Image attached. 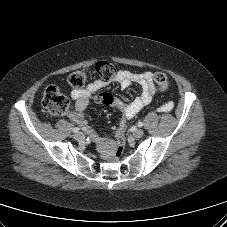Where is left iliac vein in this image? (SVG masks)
<instances>
[{
  "mask_svg": "<svg viewBox=\"0 0 227 227\" xmlns=\"http://www.w3.org/2000/svg\"><path fill=\"white\" fill-rule=\"evenodd\" d=\"M133 135L134 137L136 138H140L144 135V131L142 129H136L134 132H133Z\"/></svg>",
  "mask_w": 227,
  "mask_h": 227,
  "instance_id": "left-iliac-vein-1",
  "label": "left iliac vein"
}]
</instances>
